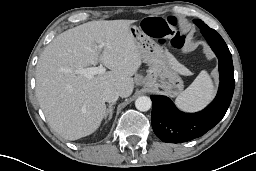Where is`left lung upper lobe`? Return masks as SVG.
I'll return each instance as SVG.
<instances>
[{
	"instance_id": "1",
	"label": "left lung upper lobe",
	"mask_w": 256,
	"mask_h": 171,
	"mask_svg": "<svg viewBox=\"0 0 256 171\" xmlns=\"http://www.w3.org/2000/svg\"><path fill=\"white\" fill-rule=\"evenodd\" d=\"M194 23H196L197 25H206L203 21L201 20H194Z\"/></svg>"
}]
</instances>
